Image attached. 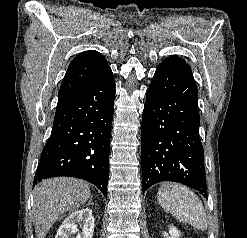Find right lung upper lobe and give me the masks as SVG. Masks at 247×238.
<instances>
[{"mask_svg": "<svg viewBox=\"0 0 247 238\" xmlns=\"http://www.w3.org/2000/svg\"><path fill=\"white\" fill-rule=\"evenodd\" d=\"M107 68L109 66L101 53L95 50L80 53L72 60L63 78L58 93V104L85 88Z\"/></svg>", "mask_w": 247, "mask_h": 238, "instance_id": "cb5924a9", "label": "right lung upper lobe"}]
</instances>
